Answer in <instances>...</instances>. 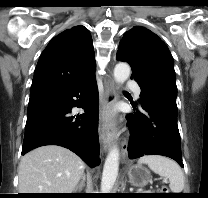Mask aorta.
<instances>
[{"label": "aorta", "instance_id": "aorta-1", "mask_svg": "<svg viewBox=\"0 0 208 198\" xmlns=\"http://www.w3.org/2000/svg\"><path fill=\"white\" fill-rule=\"evenodd\" d=\"M130 66L127 63H118L114 68V79L117 83H124L130 76ZM119 169V149L114 146L104 163L102 179H101V193H111L118 175Z\"/></svg>", "mask_w": 208, "mask_h": 198}]
</instances>
